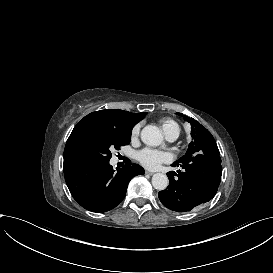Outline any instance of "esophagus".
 <instances>
[{
  "label": "esophagus",
  "mask_w": 273,
  "mask_h": 273,
  "mask_svg": "<svg viewBox=\"0 0 273 273\" xmlns=\"http://www.w3.org/2000/svg\"><path fill=\"white\" fill-rule=\"evenodd\" d=\"M145 174H146V175H149V176H152V175L154 174V172L149 171V170H146V171H145Z\"/></svg>",
  "instance_id": "obj_1"
}]
</instances>
